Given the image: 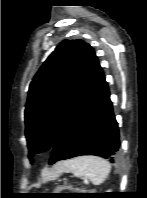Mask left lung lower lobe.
Here are the masks:
<instances>
[{"label":"left lung lower lobe","mask_w":147,"mask_h":198,"mask_svg":"<svg viewBox=\"0 0 147 198\" xmlns=\"http://www.w3.org/2000/svg\"><path fill=\"white\" fill-rule=\"evenodd\" d=\"M119 148L118 123L99 65L93 85L55 144L49 164L81 155H96L113 162Z\"/></svg>","instance_id":"1"}]
</instances>
